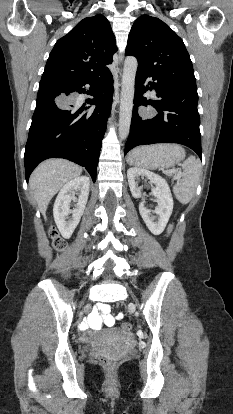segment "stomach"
Returning a JSON list of instances; mask_svg holds the SVG:
<instances>
[{"label":"stomach","mask_w":233,"mask_h":414,"mask_svg":"<svg viewBox=\"0 0 233 414\" xmlns=\"http://www.w3.org/2000/svg\"><path fill=\"white\" fill-rule=\"evenodd\" d=\"M185 156V151L179 145L158 144L143 146L135 149L127 161L148 169L170 168L179 163Z\"/></svg>","instance_id":"1"}]
</instances>
